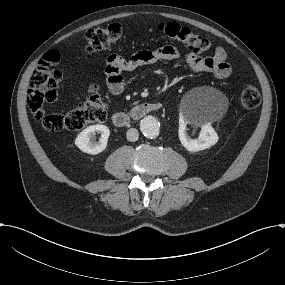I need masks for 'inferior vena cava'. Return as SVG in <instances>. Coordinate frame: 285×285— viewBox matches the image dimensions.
Listing matches in <instances>:
<instances>
[{"label":"inferior vena cava","instance_id":"inferior-vena-cava-1","mask_svg":"<svg viewBox=\"0 0 285 285\" xmlns=\"http://www.w3.org/2000/svg\"><path fill=\"white\" fill-rule=\"evenodd\" d=\"M127 139L132 142L136 141L138 139V130L136 128L128 129Z\"/></svg>","mask_w":285,"mask_h":285}]
</instances>
